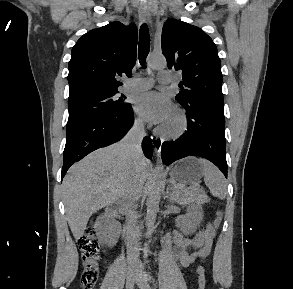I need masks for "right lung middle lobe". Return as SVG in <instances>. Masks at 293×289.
Instances as JSON below:
<instances>
[{
  "mask_svg": "<svg viewBox=\"0 0 293 289\" xmlns=\"http://www.w3.org/2000/svg\"><path fill=\"white\" fill-rule=\"evenodd\" d=\"M124 98V95L118 98L117 92H113L69 101L67 128L97 116L125 110L130 104L123 102Z\"/></svg>",
  "mask_w": 293,
  "mask_h": 289,
  "instance_id": "1",
  "label": "right lung middle lobe"
}]
</instances>
